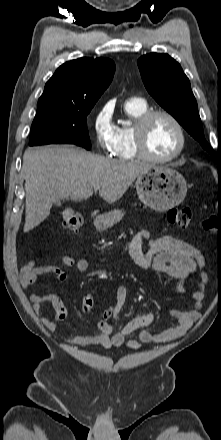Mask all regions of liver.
Masks as SVG:
<instances>
[{
    "label": "liver",
    "instance_id": "6515ba94",
    "mask_svg": "<svg viewBox=\"0 0 221 440\" xmlns=\"http://www.w3.org/2000/svg\"><path fill=\"white\" fill-rule=\"evenodd\" d=\"M153 165L112 160L73 146L28 148L23 156L26 217L24 232L38 226L61 199L82 201L93 195L107 203L119 200L129 186Z\"/></svg>",
    "mask_w": 221,
    "mask_h": 440
}]
</instances>
